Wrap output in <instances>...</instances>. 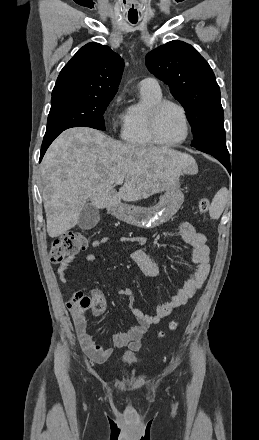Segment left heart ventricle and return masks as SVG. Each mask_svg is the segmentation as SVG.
I'll return each mask as SVG.
<instances>
[{
	"mask_svg": "<svg viewBox=\"0 0 259 440\" xmlns=\"http://www.w3.org/2000/svg\"><path fill=\"white\" fill-rule=\"evenodd\" d=\"M158 133L168 143L180 140L185 134V126L180 111L174 106H167L159 117Z\"/></svg>",
	"mask_w": 259,
	"mask_h": 440,
	"instance_id": "1",
	"label": "left heart ventricle"
}]
</instances>
